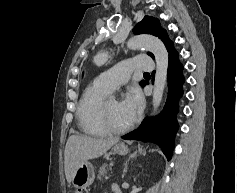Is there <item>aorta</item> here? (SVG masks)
<instances>
[{
    "mask_svg": "<svg viewBox=\"0 0 237 193\" xmlns=\"http://www.w3.org/2000/svg\"><path fill=\"white\" fill-rule=\"evenodd\" d=\"M132 50L145 48L153 53L156 61V73L152 95V106L154 111L160 106L164 89L167 83L169 56L164 43L157 37L140 34L133 36L127 43Z\"/></svg>",
    "mask_w": 237,
    "mask_h": 193,
    "instance_id": "aorta-1",
    "label": "aorta"
}]
</instances>
